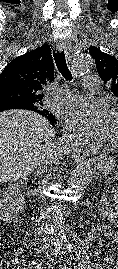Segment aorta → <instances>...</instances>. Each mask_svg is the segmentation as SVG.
I'll return each instance as SVG.
<instances>
[{"instance_id": "aorta-1", "label": "aorta", "mask_w": 118, "mask_h": 269, "mask_svg": "<svg viewBox=\"0 0 118 269\" xmlns=\"http://www.w3.org/2000/svg\"><path fill=\"white\" fill-rule=\"evenodd\" d=\"M94 65V60L89 54H80L73 64V72L77 76L89 73ZM93 170L89 164H80L72 170L68 184L77 186L91 177Z\"/></svg>"}]
</instances>
